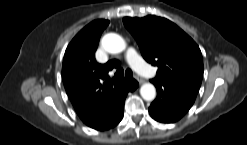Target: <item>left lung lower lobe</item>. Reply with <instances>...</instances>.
<instances>
[{
    "label": "left lung lower lobe",
    "mask_w": 247,
    "mask_h": 145,
    "mask_svg": "<svg viewBox=\"0 0 247 145\" xmlns=\"http://www.w3.org/2000/svg\"><path fill=\"white\" fill-rule=\"evenodd\" d=\"M157 98L149 107L153 119L162 123H173L183 117L193 105L196 95L177 85L161 79H153Z\"/></svg>",
    "instance_id": "0a47b994"
}]
</instances>
